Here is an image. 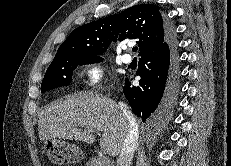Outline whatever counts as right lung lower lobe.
I'll use <instances>...</instances> for the list:
<instances>
[{"mask_svg":"<svg viewBox=\"0 0 231 166\" xmlns=\"http://www.w3.org/2000/svg\"><path fill=\"white\" fill-rule=\"evenodd\" d=\"M168 38L158 50L141 57L137 75L140 86H131L128 79L123 88L133 112L142 121L161 125L170 119L178 93L176 37L167 22Z\"/></svg>","mask_w":231,"mask_h":166,"instance_id":"right-lung-lower-lobe-1","label":"right lung lower lobe"}]
</instances>
